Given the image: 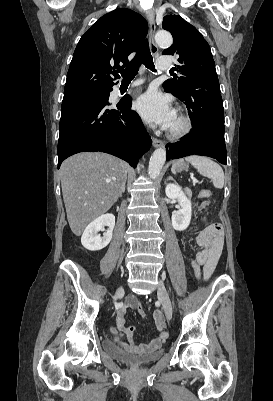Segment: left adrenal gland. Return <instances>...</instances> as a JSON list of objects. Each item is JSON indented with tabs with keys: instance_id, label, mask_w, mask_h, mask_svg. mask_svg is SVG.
<instances>
[{
	"instance_id": "a2214340",
	"label": "left adrenal gland",
	"mask_w": 273,
	"mask_h": 401,
	"mask_svg": "<svg viewBox=\"0 0 273 401\" xmlns=\"http://www.w3.org/2000/svg\"><path fill=\"white\" fill-rule=\"evenodd\" d=\"M167 180H174V178H172V176H168ZM167 180H165V182H167Z\"/></svg>"
}]
</instances>
